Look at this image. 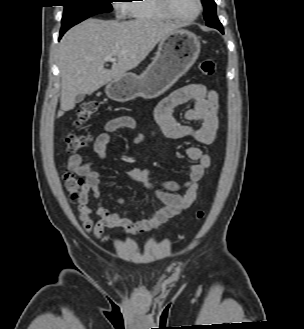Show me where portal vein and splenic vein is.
<instances>
[{
  "label": "portal vein and splenic vein",
  "instance_id": "portal-vein-and-splenic-vein-1",
  "mask_svg": "<svg viewBox=\"0 0 304 329\" xmlns=\"http://www.w3.org/2000/svg\"><path fill=\"white\" fill-rule=\"evenodd\" d=\"M105 60H106V61H110V62H113V63H114V62L117 60V58H115V57H112V56H108V57H106V58H105Z\"/></svg>",
  "mask_w": 304,
  "mask_h": 329
}]
</instances>
